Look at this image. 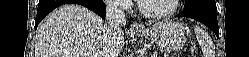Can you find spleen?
<instances>
[{"instance_id": "obj_1", "label": "spleen", "mask_w": 249, "mask_h": 57, "mask_svg": "<svg viewBox=\"0 0 249 57\" xmlns=\"http://www.w3.org/2000/svg\"><path fill=\"white\" fill-rule=\"evenodd\" d=\"M195 35L198 39V42L200 43L202 48H205L207 46L208 42V35L207 33L199 26H195L194 28ZM205 57H214V54L211 51L205 50L204 51Z\"/></svg>"}]
</instances>
